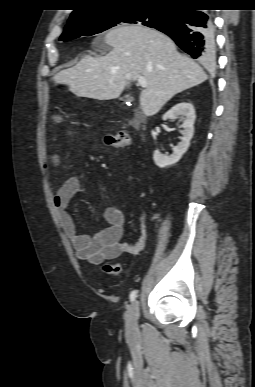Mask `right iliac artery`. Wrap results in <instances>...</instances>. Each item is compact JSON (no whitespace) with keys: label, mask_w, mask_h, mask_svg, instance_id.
Returning <instances> with one entry per match:
<instances>
[{"label":"right iliac artery","mask_w":255,"mask_h":387,"mask_svg":"<svg viewBox=\"0 0 255 387\" xmlns=\"http://www.w3.org/2000/svg\"><path fill=\"white\" fill-rule=\"evenodd\" d=\"M136 296H137V290L132 291L130 294V301L131 302L134 301Z\"/></svg>","instance_id":"82829eb1"}]
</instances>
